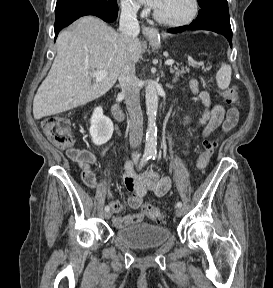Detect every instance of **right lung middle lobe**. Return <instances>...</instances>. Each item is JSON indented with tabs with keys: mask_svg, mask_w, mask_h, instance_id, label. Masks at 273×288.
Returning a JSON list of instances; mask_svg holds the SVG:
<instances>
[{
	"mask_svg": "<svg viewBox=\"0 0 273 288\" xmlns=\"http://www.w3.org/2000/svg\"><path fill=\"white\" fill-rule=\"evenodd\" d=\"M97 7L107 11H118L117 0H57L55 13L70 8Z\"/></svg>",
	"mask_w": 273,
	"mask_h": 288,
	"instance_id": "dd1d6c3e",
	"label": "right lung middle lobe"
}]
</instances>
